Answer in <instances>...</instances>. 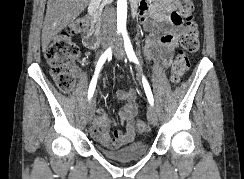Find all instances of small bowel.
I'll return each mask as SVG.
<instances>
[{
  "label": "small bowel",
  "mask_w": 244,
  "mask_h": 179,
  "mask_svg": "<svg viewBox=\"0 0 244 179\" xmlns=\"http://www.w3.org/2000/svg\"><path fill=\"white\" fill-rule=\"evenodd\" d=\"M137 11L140 23L146 32L144 55L147 63L168 67L173 60L177 39L181 34L179 15L169 0L139 1L132 7ZM83 44L94 48L89 35L84 36ZM79 76L81 69H75ZM136 90H120L118 98L124 102L119 110V117L124 130L114 129L115 121L106 116L102 109L94 110L93 135L106 147H121L131 143L135 137V116L137 113Z\"/></svg>",
  "instance_id": "1"
}]
</instances>
